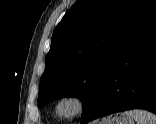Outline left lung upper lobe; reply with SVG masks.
I'll return each instance as SVG.
<instances>
[{"mask_svg": "<svg viewBox=\"0 0 156 124\" xmlns=\"http://www.w3.org/2000/svg\"><path fill=\"white\" fill-rule=\"evenodd\" d=\"M156 11L154 0H79L52 36L38 107L60 97L83 102V120L128 43Z\"/></svg>", "mask_w": 156, "mask_h": 124, "instance_id": "5c2ea615", "label": "left lung upper lobe"}]
</instances>
